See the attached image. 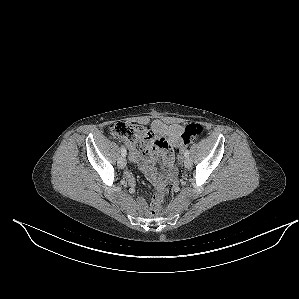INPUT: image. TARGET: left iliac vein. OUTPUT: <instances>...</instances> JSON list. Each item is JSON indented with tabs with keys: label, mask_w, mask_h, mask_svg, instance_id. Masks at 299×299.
<instances>
[{
	"label": "left iliac vein",
	"mask_w": 299,
	"mask_h": 299,
	"mask_svg": "<svg viewBox=\"0 0 299 299\" xmlns=\"http://www.w3.org/2000/svg\"><path fill=\"white\" fill-rule=\"evenodd\" d=\"M184 165H185L186 168H191V166H192L191 159L186 158L185 161H184Z\"/></svg>",
	"instance_id": "4c4485c4"
}]
</instances>
